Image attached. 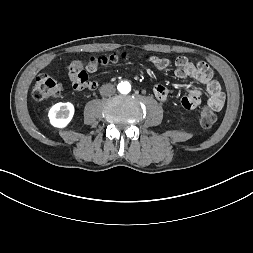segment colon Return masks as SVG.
<instances>
[{
    "label": "colon",
    "mask_w": 253,
    "mask_h": 253,
    "mask_svg": "<svg viewBox=\"0 0 253 253\" xmlns=\"http://www.w3.org/2000/svg\"><path fill=\"white\" fill-rule=\"evenodd\" d=\"M120 58L126 56L111 55H98L92 57L85 65L80 60H75L70 66L68 74V88L73 93L85 92L89 90H96L100 86V81L96 77L89 78L88 72L95 71L98 67L115 63ZM61 87L57 80L54 78L41 74L39 75L31 89L33 99L43 101L50 97H55L60 94ZM217 120L216 113L210 107H203L200 111V123L204 128H211Z\"/></svg>",
    "instance_id": "obj_1"
}]
</instances>
